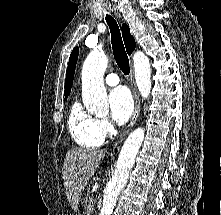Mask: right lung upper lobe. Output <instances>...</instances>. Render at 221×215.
<instances>
[{
  "mask_svg": "<svg viewBox=\"0 0 221 215\" xmlns=\"http://www.w3.org/2000/svg\"><path fill=\"white\" fill-rule=\"evenodd\" d=\"M122 36L127 53L130 55L132 51L135 49V40L134 37L130 34V29L126 24L122 25ZM78 54H79V49L78 47H76L73 49L69 58L68 68L66 71L65 92H64L65 97H68L71 91Z\"/></svg>",
  "mask_w": 221,
  "mask_h": 215,
  "instance_id": "cb5924a9",
  "label": "right lung upper lobe"
}]
</instances>
